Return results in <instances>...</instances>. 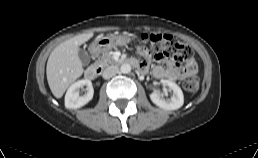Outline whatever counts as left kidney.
<instances>
[{"mask_svg": "<svg viewBox=\"0 0 258 158\" xmlns=\"http://www.w3.org/2000/svg\"><path fill=\"white\" fill-rule=\"evenodd\" d=\"M162 85L169 87L172 90V96L169 99H165L159 92H153L150 95L151 101L166 110H176L183 106L184 96L181 88L170 80H161Z\"/></svg>", "mask_w": 258, "mask_h": 158, "instance_id": "5707ae66", "label": "left kidney"}]
</instances>
